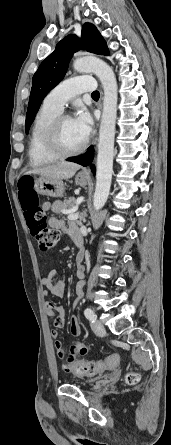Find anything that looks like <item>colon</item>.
<instances>
[{"label": "colon", "mask_w": 171, "mask_h": 445, "mask_svg": "<svg viewBox=\"0 0 171 445\" xmlns=\"http://www.w3.org/2000/svg\"><path fill=\"white\" fill-rule=\"evenodd\" d=\"M18 198L29 231L36 240L39 250L41 252L52 251L59 242L60 232L49 225L47 214L40 205V198L33 189L30 178H23L20 181ZM78 352L83 355L86 354L87 349L79 343ZM115 361V355H111L106 361L74 362L70 369L76 375L93 376ZM124 379L127 384L133 385L139 381L140 376L136 372H128Z\"/></svg>", "instance_id": "colon-1"}]
</instances>
